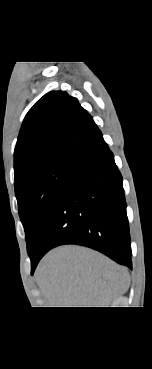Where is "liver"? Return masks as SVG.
I'll use <instances>...</instances> for the list:
<instances>
[{"label": "liver", "mask_w": 152, "mask_h": 369, "mask_svg": "<svg viewBox=\"0 0 152 369\" xmlns=\"http://www.w3.org/2000/svg\"><path fill=\"white\" fill-rule=\"evenodd\" d=\"M36 279L50 307H107L130 285L125 267L80 246L50 251L38 265Z\"/></svg>", "instance_id": "liver-1"}]
</instances>
